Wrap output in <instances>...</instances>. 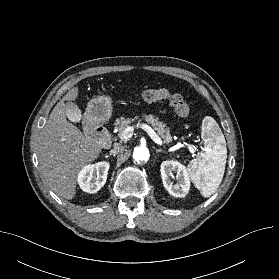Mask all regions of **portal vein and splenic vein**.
Masks as SVG:
<instances>
[{"label":"portal vein and splenic vein","mask_w":279,"mask_h":279,"mask_svg":"<svg viewBox=\"0 0 279 279\" xmlns=\"http://www.w3.org/2000/svg\"><path fill=\"white\" fill-rule=\"evenodd\" d=\"M137 127H138V125H137ZM140 127L148 133V135L151 137V139L155 143H157L159 145H163V141L161 140V138L155 133V131L149 125L142 124V125H140ZM133 131H134V127L128 126L120 135V139L127 140V139L131 138V136L133 135ZM185 146L189 149V151L191 153L195 152L194 148L191 145L185 144Z\"/></svg>","instance_id":"1"}]
</instances>
